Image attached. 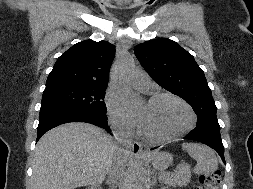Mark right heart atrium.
Listing matches in <instances>:
<instances>
[{
	"label": "right heart atrium",
	"mask_w": 253,
	"mask_h": 189,
	"mask_svg": "<svg viewBox=\"0 0 253 189\" xmlns=\"http://www.w3.org/2000/svg\"><path fill=\"white\" fill-rule=\"evenodd\" d=\"M106 107L110 121L114 126L122 130H128L131 127L130 115L118 96L108 94L106 97Z\"/></svg>",
	"instance_id": "obj_1"
}]
</instances>
